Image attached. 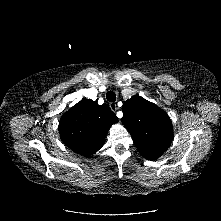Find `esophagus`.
I'll return each mask as SVG.
<instances>
[{
	"instance_id": "obj_1",
	"label": "esophagus",
	"mask_w": 221,
	"mask_h": 221,
	"mask_svg": "<svg viewBox=\"0 0 221 221\" xmlns=\"http://www.w3.org/2000/svg\"><path fill=\"white\" fill-rule=\"evenodd\" d=\"M109 107L111 108L112 111L116 112L118 110V107L116 105V103H110L109 104Z\"/></svg>"
}]
</instances>
